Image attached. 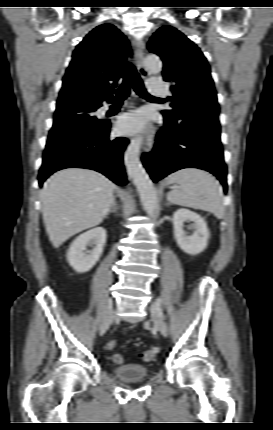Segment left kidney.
Segmentation results:
<instances>
[{"label":"left kidney","instance_id":"obj_1","mask_svg":"<svg viewBox=\"0 0 273 430\" xmlns=\"http://www.w3.org/2000/svg\"><path fill=\"white\" fill-rule=\"evenodd\" d=\"M185 222H192L188 228L194 231L189 236L183 229ZM173 228L175 240L185 253L197 255L207 247L210 232L200 214L185 208L177 210L173 215Z\"/></svg>","mask_w":273,"mask_h":430}]
</instances>
